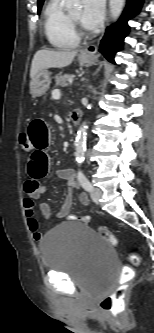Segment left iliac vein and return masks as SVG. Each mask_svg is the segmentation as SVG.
Returning a JSON list of instances; mask_svg holds the SVG:
<instances>
[{
    "mask_svg": "<svg viewBox=\"0 0 154 333\" xmlns=\"http://www.w3.org/2000/svg\"><path fill=\"white\" fill-rule=\"evenodd\" d=\"M91 199L95 202L98 203L101 196H102V191L98 188H92L91 190Z\"/></svg>",
    "mask_w": 154,
    "mask_h": 333,
    "instance_id": "1",
    "label": "left iliac vein"
}]
</instances>
